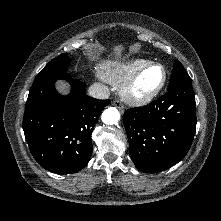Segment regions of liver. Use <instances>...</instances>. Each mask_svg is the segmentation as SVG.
Masks as SVG:
<instances>
[{
	"mask_svg": "<svg viewBox=\"0 0 221 221\" xmlns=\"http://www.w3.org/2000/svg\"><path fill=\"white\" fill-rule=\"evenodd\" d=\"M124 50V47L122 45H117V46H114L113 47V57L116 59V60H119L121 57H122V51ZM60 86L62 88H64V84L60 83Z\"/></svg>",
	"mask_w": 221,
	"mask_h": 221,
	"instance_id": "obj_1",
	"label": "liver"
}]
</instances>
